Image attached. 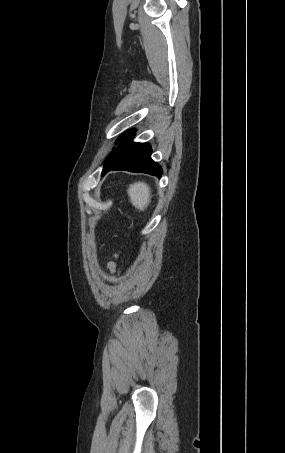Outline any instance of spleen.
<instances>
[{
    "label": "spleen",
    "mask_w": 285,
    "mask_h": 453,
    "mask_svg": "<svg viewBox=\"0 0 285 453\" xmlns=\"http://www.w3.org/2000/svg\"><path fill=\"white\" fill-rule=\"evenodd\" d=\"M127 193L132 205L140 211H144L150 203V188L144 182L130 184Z\"/></svg>",
    "instance_id": "3e777b00"
}]
</instances>
